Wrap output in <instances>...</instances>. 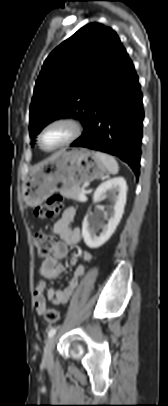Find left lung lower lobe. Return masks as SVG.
Listing matches in <instances>:
<instances>
[{
  "mask_svg": "<svg viewBox=\"0 0 168 406\" xmlns=\"http://www.w3.org/2000/svg\"><path fill=\"white\" fill-rule=\"evenodd\" d=\"M142 93L126 50L103 85L82 136L72 147H85L115 155L139 176Z\"/></svg>",
  "mask_w": 168,
  "mask_h": 406,
  "instance_id": "1",
  "label": "left lung lower lobe"
}]
</instances>
